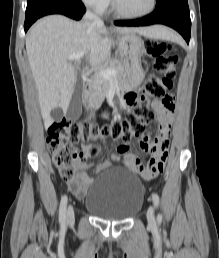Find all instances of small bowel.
<instances>
[{
	"mask_svg": "<svg viewBox=\"0 0 219 258\" xmlns=\"http://www.w3.org/2000/svg\"><path fill=\"white\" fill-rule=\"evenodd\" d=\"M124 101L128 106H132L136 102V95L133 92H128L124 96ZM153 107L159 123V133L153 141H150L148 137L141 139V148L152 155L148 160L149 162H146V166H142L140 159L130 152L129 144H122L117 148V152L123 155L125 167L129 171L141 175L143 183H156V178L164 175L163 169L168 155L170 128L175 108L173 95L169 94L160 101H154ZM152 147L157 148L152 151ZM160 147H164V149L162 150ZM99 150L98 146H90L84 149L85 155L78 163L79 171L67 181L69 190L78 198H83L86 195L94 179L87 174V171L100 172L111 166L110 161H103L97 165L87 162V157L98 154ZM119 159L120 157L116 153L110 156V160L113 162H117Z\"/></svg>",
	"mask_w": 219,
	"mask_h": 258,
	"instance_id": "c3829d8e",
	"label": "small bowel"
}]
</instances>
